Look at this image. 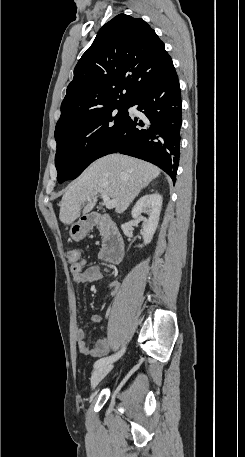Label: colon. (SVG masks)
Listing matches in <instances>:
<instances>
[{
	"instance_id": "5ec220e1",
	"label": "colon",
	"mask_w": 245,
	"mask_h": 457,
	"mask_svg": "<svg viewBox=\"0 0 245 457\" xmlns=\"http://www.w3.org/2000/svg\"><path fill=\"white\" fill-rule=\"evenodd\" d=\"M68 260L72 264L73 269L81 270L82 261H81V252L78 249H71L68 252Z\"/></svg>"
}]
</instances>
